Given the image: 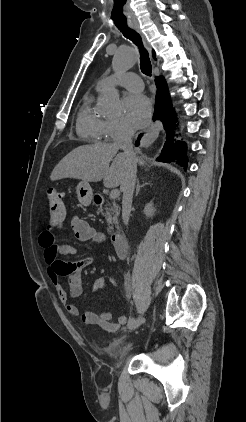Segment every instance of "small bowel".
Here are the masks:
<instances>
[{"mask_svg": "<svg viewBox=\"0 0 246 422\" xmlns=\"http://www.w3.org/2000/svg\"><path fill=\"white\" fill-rule=\"evenodd\" d=\"M71 225L77 240L81 242L96 241L103 242L105 236L90 226L85 220L74 217ZM39 245L43 248L44 260L47 264L48 276L57 292L59 300L65 306L67 312L73 316L79 315L78 307L70 302L71 298H77L82 295L84 284L82 271L94 263L92 257H86L75 262H67L61 260V255H75L76 249L66 243H57L54 235L53 227L48 225L39 234ZM62 276H69L71 283L69 289L66 290L61 282ZM108 282L117 287L118 283L114 275L109 274ZM93 291H104L107 289V282L104 278L96 279L92 285ZM127 316L120 315L117 322L112 321V314L104 311L99 314L86 311L81 315V321L86 325L99 326L109 332H115L120 326L127 323Z\"/></svg>", "mask_w": 246, "mask_h": 422, "instance_id": "small-bowel-1", "label": "small bowel"}]
</instances>
